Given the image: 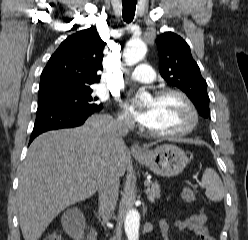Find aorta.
<instances>
[{
  "mask_svg": "<svg viewBox=\"0 0 248 240\" xmlns=\"http://www.w3.org/2000/svg\"><path fill=\"white\" fill-rule=\"evenodd\" d=\"M147 47L140 40L130 41L124 49L123 57L127 65L132 66L141 61L146 55ZM138 97L143 100L148 97L147 93H141ZM140 215L137 210L131 209L125 217V232L128 240H139Z\"/></svg>",
  "mask_w": 248,
  "mask_h": 240,
  "instance_id": "aorta-1",
  "label": "aorta"
}]
</instances>
